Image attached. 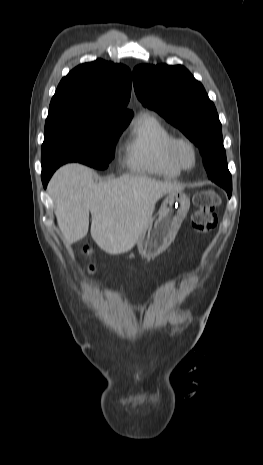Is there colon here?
I'll use <instances>...</instances> for the list:
<instances>
[{"label":"colon","instance_id":"colon-1","mask_svg":"<svg viewBox=\"0 0 263 465\" xmlns=\"http://www.w3.org/2000/svg\"><path fill=\"white\" fill-rule=\"evenodd\" d=\"M196 210L192 214L191 225L194 231L202 234L211 232L217 225L215 208L219 204V197L213 190H206L197 193L193 199ZM86 253L89 252L85 248ZM93 270L94 267L90 266Z\"/></svg>","mask_w":263,"mask_h":465}]
</instances>
